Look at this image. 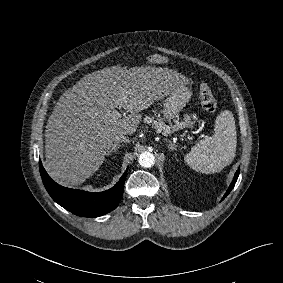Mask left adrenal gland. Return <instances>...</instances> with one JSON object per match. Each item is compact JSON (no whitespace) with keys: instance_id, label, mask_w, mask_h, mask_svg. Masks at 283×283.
I'll list each match as a JSON object with an SVG mask.
<instances>
[{"instance_id":"a2214340","label":"left adrenal gland","mask_w":283,"mask_h":283,"mask_svg":"<svg viewBox=\"0 0 283 283\" xmlns=\"http://www.w3.org/2000/svg\"><path fill=\"white\" fill-rule=\"evenodd\" d=\"M165 141L168 143L167 148L170 150H176V146L174 143H172L170 140L165 139Z\"/></svg>"}]
</instances>
